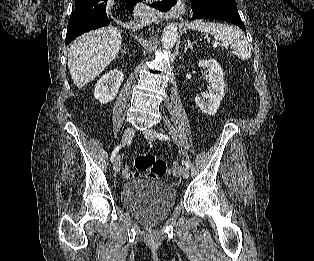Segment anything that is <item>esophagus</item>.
I'll use <instances>...</instances> for the list:
<instances>
[{
	"label": "esophagus",
	"mask_w": 314,
	"mask_h": 261,
	"mask_svg": "<svg viewBox=\"0 0 314 261\" xmlns=\"http://www.w3.org/2000/svg\"><path fill=\"white\" fill-rule=\"evenodd\" d=\"M170 4V9L166 10V11H161V13L165 16V17H170V16H174V15H180L181 13H183V4L180 0L177 1L176 4L172 5Z\"/></svg>",
	"instance_id": "obj_1"
}]
</instances>
